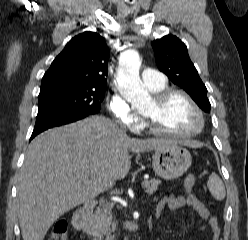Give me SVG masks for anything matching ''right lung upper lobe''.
Masks as SVG:
<instances>
[{"instance_id":"obj_1","label":"right lung upper lobe","mask_w":248,"mask_h":240,"mask_svg":"<svg viewBox=\"0 0 248 240\" xmlns=\"http://www.w3.org/2000/svg\"><path fill=\"white\" fill-rule=\"evenodd\" d=\"M108 49L97 33L72 38L44 74L40 94L64 89H106Z\"/></svg>"}]
</instances>
